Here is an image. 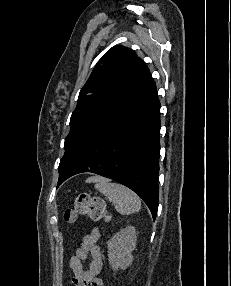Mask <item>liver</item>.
<instances>
[{
  "instance_id": "liver-1",
  "label": "liver",
  "mask_w": 231,
  "mask_h": 286,
  "mask_svg": "<svg viewBox=\"0 0 231 286\" xmlns=\"http://www.w3.org/2000/svg\"><path fill=\"white\" fill-rule=\"evenodd\" d=\"M100 179H101L100 177H92V178L87 179V182L97 181Z\"/></svg>"
}]
</instances>
